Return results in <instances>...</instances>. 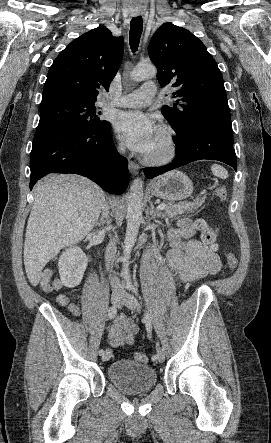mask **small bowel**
Listing matches in <instances>:
<instances>
[{
  "instance_id": "obj_1",
  "label": "small bowel",
  "mask_w": 271,
  "mask_h": 443,
  "mask_svg": "<svg viewBox=\"0 0 271 443\" xmlns=\"http://www.w3.org/2000/svg\"><path fill=\"white\" fill-rule=\"evenodd\" d=\"M193 233L192 222L187 218L181 219L178 228L170 233L171 249L167 253V263L184 282L217 274L222 269L219 256L212 249L192 239ZM54 288L58 290L60 284L56 283ZM58 302L72 315H81L78 305L67 296L59 295ZM136 333L137 327L131 319L121 315L109 328L107 339L111 346L119 347L132 343Z\"/></svg>"
}]
</instances>
